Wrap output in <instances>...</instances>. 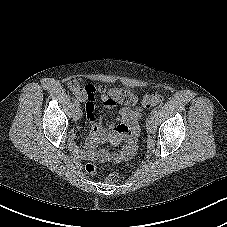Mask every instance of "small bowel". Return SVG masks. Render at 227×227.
I'll return each instance as SVG.
<instances>
[{
    "label": "small bowel",
    "instance_id": "obj_1",
    "mask_svg": "<svg viewBox=\"0 0 227 227\" xmlns=\"http://www.w3.org/2000/svg\"><path fill=\"white\" fill-rule=\"evenodd\" d=\"M96 88L92 85L86 88H79L74 92L76 97L85 105L86 117L92 123L91 132L87 138L86 146H79L74 139L79 128L76 127L70 134V150L77 156L88 160L118 161L131 156L136 149V136L138 133V121L141 117L140 110L135 107L137 98L132 94L131 102L124 104L117 114L116 123L110 124L108 128L102 126L101 121L94 114ZM102 104L106 108H114V102L109 93L103 92L100 96ZM101 142H109L113 145L124 143L118 152L97 150Z\"/></svg>",
    "mask_w": 227,
    "mask_h": 227
}]
</instances>
